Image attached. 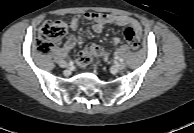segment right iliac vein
<instances>
[{"mask_svg": "<svg viewBox=\"0 0 194 133\" xmlns=\"http://www.w3.org/2000/svg\"><path fill=\"white\" fill-rule=\"evenodd\" d=\"M59 65H60V67H62V68H67V67L69 66L65 61H60V62H59Z\"/></svg>", "mask_w": 194, "mask_h": 133, "instance_id": "1", "label": "right iliac vein"}]
</instances>
